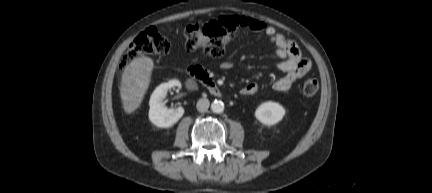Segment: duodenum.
<instances>
[{"mask_svg": "<svg viewBox=\"0 0 432 193\" xmlns=\"http://www.w3.org/2000/svg\"><path fill=\"white\" fill-rule=\"evenodd\" d=\"M187 72L191 78L196 79L201 83H203L213 96L215 97L222 96V91L220 87L215 82V80L210 77V75L205 69L199 66H194V67H190Z\"/></svg>", "mask_w": 432, "mask_h": 193, "instance_id": "obj_1", "label": "duodenum"}]
</instances>
